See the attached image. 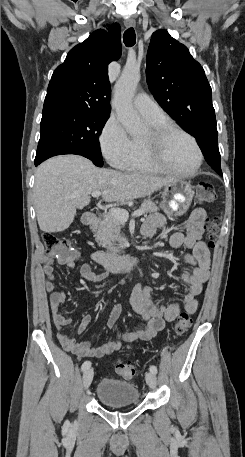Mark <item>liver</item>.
<instances>
[{
	"label": "liver",
	"mask_w": 245,
	"mask_h": 457,
	"mask_svg": "<svg viewBox=\"0 0 245 457\" xmlns=\"http://www.w3.org/2000/svg\"><path fill=\"white\" fill-rule=\"evenodd\" d=\"M172 180L175 178L171 176L98 168L78 154L54 156L42 162L35 174L33 194L38 224L45 233L65 231L76 208L89 204L93 190L104 192L107 202H119L149 196Z\"/></svg>",
	"instance_id": "liver-1"
}]
</instances>
